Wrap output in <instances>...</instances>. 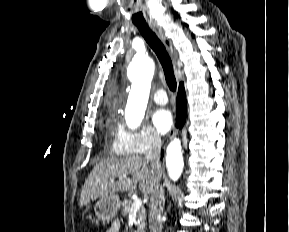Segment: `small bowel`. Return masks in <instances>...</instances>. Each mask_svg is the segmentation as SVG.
<instances>
[{
  "label": "small bowel",
  "mask_w": 289,
  "mask_h": 232,
  "mask_svg": "<svg viewBox=\"0 0 289 232\" xmlns=\"http://www.w3.org/2000/svg\"><path fill=\"white\" fill-rule=\"evenodd\" d=\"M120 224L119 222L115 221L111 224V226L106 230V232H119Z\"/></svg>",
  "instance_id": "obj_1"
}]
</instances>
